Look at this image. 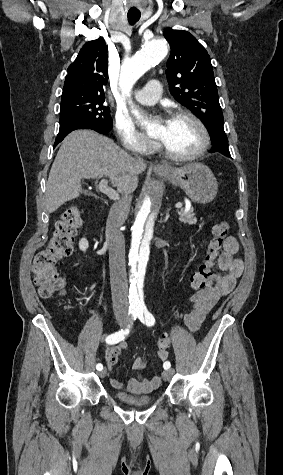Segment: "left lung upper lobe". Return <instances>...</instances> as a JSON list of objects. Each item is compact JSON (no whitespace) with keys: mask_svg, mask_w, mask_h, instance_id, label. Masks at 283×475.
Segmentation results:
<instances>
[{"mask_svg":"<svg viewBox=\"0 0 283 475\" xmlns=\"http://www.w3.org/2000/svg\"><path fill=\"white\" fill-rule=\"evenodd\" d=\"M170 43L166 76L172 96L191 110L209 134L224 132L223 114L210 56L198 40L184 30H164Z\"/></svg>","mask_w":283,"mask_h":475,"instance_id":"left-lung-upper-lobe-1","label":"left lung upper lobe"}]
</instances>
